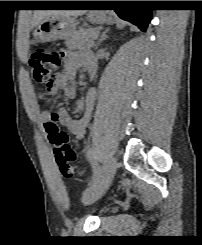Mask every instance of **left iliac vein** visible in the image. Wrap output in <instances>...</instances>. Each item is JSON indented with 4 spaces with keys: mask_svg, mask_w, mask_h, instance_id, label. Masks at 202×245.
<instances>
[{
    "mask_svg": "<svg viewBox=\"0 0 202 245\" xmlns=\"http://www.w3.org/2000/svg\"><path fill=\"white\" fill-rule=\"evenodd\" d=\"M116 168L117 161L115 157H111L110 159L104 162L102 172L98 176L93 190L87 196L84 197V199L88 203H93L97 201L106 193L115 176Z\"/></svg>",
    "mask_w": 202,
    "mask_h": 245,
    "instance_id": "4c4485c4",
    "label": "left iliac vein"
}]
</instances>
